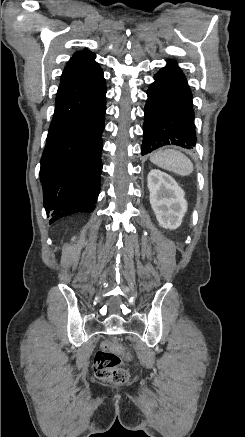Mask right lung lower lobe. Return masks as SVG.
<instances>
[{"label":"right lung lower lobe","mask_w":245,"mask_h":437,"mask_svg":"<svg viewBox=\"0 0 245 437\" xmlns=\"http://www.w3.org/2000/svg\"><path fill=\"white\" fill-rule=\"evenodd\" d=\"M105 99L104 80L88 89L56 96L40 168L50 223L95 209L102 172Z\"/></svg>","instance_id":"right-lung-lower-lobe-1"}]
</instances>
